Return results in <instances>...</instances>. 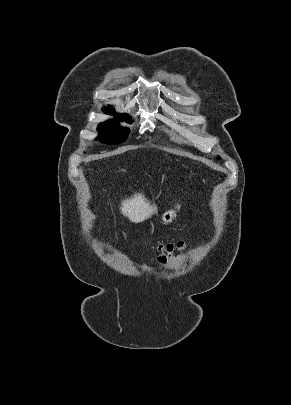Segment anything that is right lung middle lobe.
<instances>
[{
    "label": "right lung middle lobe",
    "instance_id": "obj_1",
    "mask_svg": "<svg viewBox=\"0 0 291 405\" xmlns=\"http://www.w3.org/2000/svg\"><path fill=\"white\" fill-rule=\"evenodd\" d=\"M111 114V113H106ZM116 120L107 121L99 124L98 131L101 133L99 141L106 144H119L127 139L129 128L120 127L117 121H126L131 123L132 120L128 115L119 114L115 116Z\"/></svg>",
    "mask_w": 291,
    "mask_h": 405
}]
</instances>
